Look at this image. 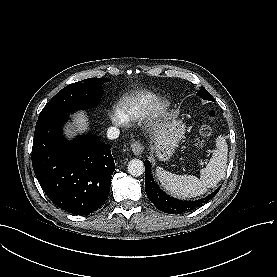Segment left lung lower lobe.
Here are the masks:
<instances>
[{
    "instance_id": "0a47b994",
    "label": "left lung lower lobe",
    "mask_w": 277,
    "mask_h": 277,
    "mask_svg": "<svg viewBox=\"0 0 277 277\" xmlns=\"http://www.w3.org/2000/svg\"><path fill=\"white\" fill-rule=\"evenodd\" d=\"M145 165V190L150 201L161 211L174 214L191 211L206 203L219 191V188L209 196L196 201H183L166 195L156 184L151 174V163L146 160Z\"/></svg>"
}]
</instances>
